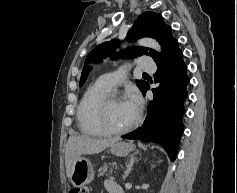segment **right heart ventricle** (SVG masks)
<instances>
[{"label": "right heart ventricle", "instance_id": "right-heart-ventricle-1", "mask_svg": "<svg viewBox=\"0 0 237 193\" xmlns=\"http://www.w3.org/2000/svg\"><path fill=\"white\" fill-rule=\"evenodd\" d=\"M110 92V89L98 81L90 85L84 92L77 108L78 127L83 134L90 136L105 135L96 123L95 112L100 100Z\"/></svg>", "mask_w": 237, "mask_h": 193}]
</instances>
